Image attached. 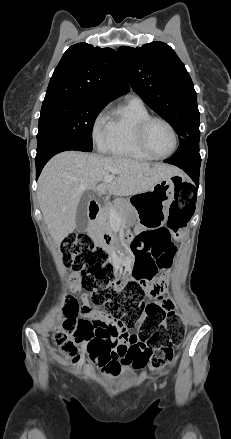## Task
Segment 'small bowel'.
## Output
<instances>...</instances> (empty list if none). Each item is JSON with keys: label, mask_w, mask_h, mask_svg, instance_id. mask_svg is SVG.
Here are the masks:
<instances>
[{"label": "small bowel", "mask_w": 231, "mask_h": 439, "mask_svg": "<svg viewBox=\"0 0 231 439\" xmlns=\"http://www.w3.org/2000/svg\"><path fill=\"white\" fill-rule=\"evenodd\" d=\"M138 236L142 238L137 243V249H131L135 256V265L143 263L148 267H156L159 258L166 254L171 253L174 256V240L180 237L179 233H174L168 227H160L150 231H144ZM137 239V236L133 241ZM134 265V266H135ZM80 275L75 273L73 275V281L75 284L80 282ZM168 283L167 278H163L157 283L156 289H149L148 294L151 296H158ZM84 307L81 310V314L87 319L81 320L80 324L89 329L91 338L90 342L93 344L104 345L109 348L123 364H133V359L138 353L149 354V349L146 346L139 343L138 338L134 334H130L127 328L109 318L105 313L100 310H92L87 305L86 297H83ZM148 305L156 304L166 310H171L174 307V303L171 299H164L160 302L147 303Z\"/></svg>", "instance_id": "1"}]
</instances>
